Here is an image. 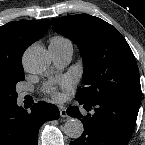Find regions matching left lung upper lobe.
<instances>
[{
    "instance_id": "1",
    "label": "left lung upper lobe",
    "mask_w": 145,
    "mask_h": 145,
    "mask_svg": "<svg viewBox=\"0 0 145 145\" xmlns=\"http://www.w3.org/2000/svg\"><path fill=\"white\" fill-rule=\"evenodd\" d=\"M54 30L74 41L83 57V83L76 98L87 103L119 96H141L134 54L112 25L88 14L53 18Z\"/></svg>"
}]
</instances>
